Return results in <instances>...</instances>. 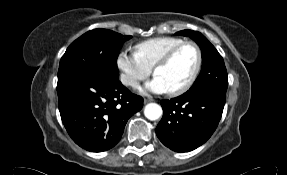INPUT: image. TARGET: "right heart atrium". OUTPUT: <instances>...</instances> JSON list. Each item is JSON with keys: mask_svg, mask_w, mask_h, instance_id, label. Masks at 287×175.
<instances>
[{"mask_svg": "<svg viewBox=\"0 0 287 175\" xmlns=\"http://www.w3.org/2000/svg\"><path fill=\"white\" fill-rule=\"evenodd\" d=\"M116 64L120 71L121 82L128 87L135 88L140 81L151 74V68L141 60L136 52L122 50L117 56Z\"/></svg>", "mask_w": 287, "mask_h": 175, "instance_id": "right-heart-atrium-1", "label": "right heart atrium"}]
</instances>
